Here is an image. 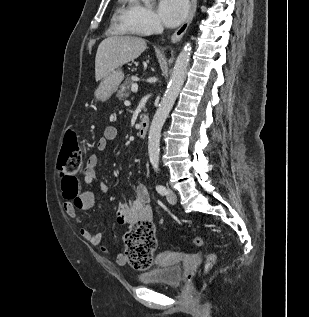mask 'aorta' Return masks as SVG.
Listing matches in <instances>:
<instances>
[{
    "instance_id": "1",
    "label": "aorta",
    "mask_w": 309,
    "mask_h": 317,
    "mask_svg": "<svg viewBox=\"0 0 309 317\" xmlns=\"http://www.w3.org/2000/svg\"><path fill=\"white\" fill-rule=\"evenodd\" d=\"M142 1L146 5L150 2V0ZM190 55L191 45L187 43L176 59L167 90L152 120L148 136V153L153 166L159 163L161 130L186 79Z\"/></svg>"
}]
</instances>
